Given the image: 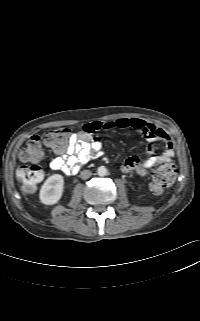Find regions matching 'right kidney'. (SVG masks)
Returning <instances> with one entry per match:
<instances>
[{
	"label": "right kidney",
	"instance_id": "right-kidney-1",
	"mask_svg": "<svg viewBox=\"0 0 200 321\" xmlns=\"http://www.w3.org/2000/svg\"><path fill=\"white\" fill-rule=\"evenodd\" d=\"M64 179L60 174L48 177L40 190V201L45 205L56 204L62 197Z\"/></svg>",
	"mask_w": 200,
	"mask_h": 321
}]
</instances>
